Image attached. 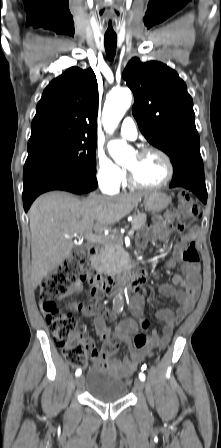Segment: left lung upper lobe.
I'll list each match as a JSON object with an SVG mask.
<instances>
[{"label":"left lung upper lobe","instance_id":"1","mask_svg":"<svg viewBox=\"0 0 221 448\" xmlns=\"http://www.w3.org/2000/svg\"><path fill=\"white\" fill-rule=\"evenodd\" d=\"M123 78L134 94L132 113L141 133L173 168L201 158L193 101L178 74L161 62L132 58Z\"/></svg>","mask_w":221,"mask_h":448}]
</instances>
